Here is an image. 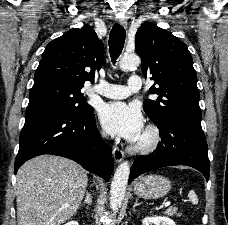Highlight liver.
Masks as SVG:
<instances>
[{"label": "liver", "instance_id": "1", "mask_svg": "<svg viewBox=\"0 0 228 225\" xmlns=\"http://www.w3.org/2000/svg\"><path fill=\"white\" fill-rule=\"evenodd\" d=\"M16 183L18 225H62L77 213L88 177L74 161L41 155L20 167Z\"/></svg>", "mask_w": 228, "mask_h": 225}]
</instances>
